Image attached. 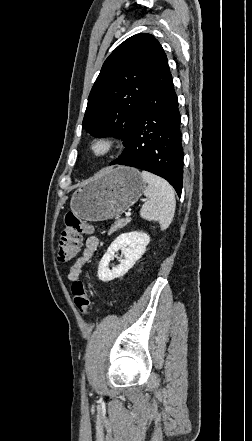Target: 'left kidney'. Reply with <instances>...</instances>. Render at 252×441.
Returning a JSON list of instances; mask_svg holds the SVG:
<instances>
[{"mask_svg": "<svg viewBox=\"0 0 252 441\" xmlns=\"http://www.w3.org/2000/svg\"><path fill=\"white\" fill-rule=\"evenodd\" d=\"M150 242V236L143 232H129L119 235L109 246L107 252L102 257L98 277L103 282H109L126 274L135 262L141 258ZM121 250L124 259L120 258V264L109 269V262L114 259L115 253Z\"/></svg>", "mask_w": 252, "mask_h": 441, "instance_id": "1", "label": "left kidney"}]
</instances>
